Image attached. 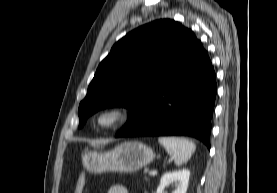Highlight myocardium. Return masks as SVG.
<instances>
[{
  "label": "myocardium",
  "mask_w": 277,
  "mask_h": 193,
  "mask_svg": "<svg viewBox=\"0 0 277 193\" xmlns=\"http://www.w3.org/2000/svg\"><path fill=\"white\" fill-rule=\"evenodd\" d=\"M103 119H106L103 122ZM131 119V112L122 105H108L100 108L93 115V124L100 130L112 131L116 130Z\"/></svg>",
  "instance_id": "f54148a6"
}]
</instances>
